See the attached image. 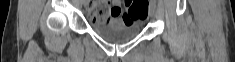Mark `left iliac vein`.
I'll return each mask as SVG.
<instances>
[{"label": "left iliac vein", "instance_id": "obj_1", "mask_svg": "<svg viewBox=\"0 0 235 62\" xmlns=\"http://www.w3.org/2000/svg\"><path fill=\"white\" fill-rule=\"evenodd\" d=\"M155 13H156V6L154 4H151L150 8H149V14L151 18L155 17Z\"/></svg>", "mask_w": 235, "mask_h": 62}]
</instances>
